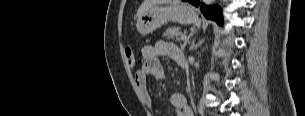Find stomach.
<instances>
[{"mask_svg": "<svg viewBox=\"0 0 305 116\" xmlns=\"http://www.w3.org/2000/svg\"><path fill=\"white\" fill-rule=\"evenodd\" d=\"M168 21L192 24L199 22V18L196 10L187 3L172 4L164 7L154 5L143 13L136 26L140 34L148 35Z\"/></svg>", "mask_w": 305, "mask_h": 116, "instance_id": "0dacf381", "label": "stomach"}]
</instances>
